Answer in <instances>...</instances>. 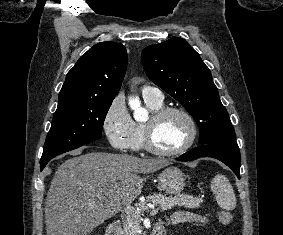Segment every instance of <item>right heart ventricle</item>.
<instances>
[{
	"mask_svg": "<svg viewBox=\"0 0 283 235\" xmlns=\"http://www.w3.org/2000/svg\"><path fill=\"white\" fill-rule=\"evenodd\" d=\"M144 101L147 107L155 112L163 107V100L158 101L154 99H145ZM143 127L144 124L141 122H134V133L131 139L130 148L134 150H140L143 148Z\"/></svg>",
	"mask_w": 283,
	"mask_h": 235,
	"instance_id": "1",
	"label": "right heart ventricle"
}]
</instances>
